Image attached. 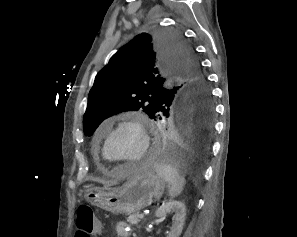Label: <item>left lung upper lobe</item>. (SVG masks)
I'll use <instances>...</instances> for the list:
<instances>
[{
    "instance_id": "5c2ea615",
    "label": "left lung upper lobe",
    "mask_w": 297,
    "mask_h": 237,
    "mask_svg": "<svg viewBox=\"0 0 297 237\" xmlns=\"http://www.w3.org/2000/svg\"><path fill=\"white\" fill-rule=\"evenodd\" d=\"M211 99L200 64L180 34L142 33L97 74L83 118L84 134L91 136L104 119L119 112L142 109L156 120L174 103Z\"/></svg>"
}]
</instances>
